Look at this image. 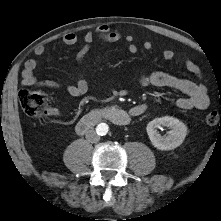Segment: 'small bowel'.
<instances>
[{
	"label": "small bowel",
	"mask_w": 221,
	"mask_h": 221,
	"mask_svg": "<svg viewBox=\"0 0 221 221\" xmlns=\"http://www.w3.org/2000/svg\"><path fill=\"white\" fill-rule=\"evenodd\" d=\"M123 39L121 33L110 29L107 25H101L94 31H89L84 34L82 38V45L76 54V61L82 63L90 51L92 44L96 40H101L107 43H116ZM127 41V51L130 55L138 53L139 48L135 44L131 36L125 37ZM78 42L76 34L68 32L62 36V43L65 45H75ZM142 47L146 51L153 49L154 45L151 41H144ZM45 53V47L40 45L35 49L36 56H42ZM163 57L166 60H173L176 58V53L172 49H165L163 51ZM186 70L196 77L200 78L202 73L199 66L188 58H181ZM38 62L35 58L28 59L22 71V84L24 86L45 87L51 89L60 88V83L55 80H41L38 81L35 76V69ZM139 83L142 86H154V87H167L176 92L181 93L183 96L178 98L176 105L182 110L198 109L204 110L210 104V98L207 93L205 85L202 83L193 82L186 78L176 77L169 75L165 72L154 71L139 77ZM89 84L87 79L83 75H79L78 80L74 84H67L66 90L71 96H82L87 93ZM136 107V106H135ZM135 107L131 109L132 113H135Z\"/></svg>",
	"instance_id": "obj_1"
}]
</instances>
